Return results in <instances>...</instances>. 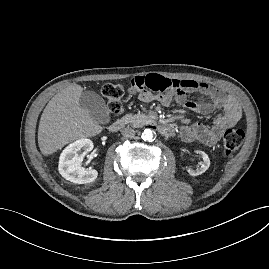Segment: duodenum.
I'll return each mask as SVG.
<instances>
[{
	"instance_id": "duodenum-1",
	"label": "duodenum",
	"mask_w": 269,
	"mask_h": 269,
	"mask_svg": "<svg viewBox=\"0 0 269 269\" xmlns=\"http://www.w3.org/2000/svg\"><path fill=\"white\" fill-rule=\"evenodd\" d=\"M124 125L123 120L119 119L114 121L109 126V131L112 133L118 132ZM158 130L163 135H171L175 131V127L172 124H163L158 127Z\"/></svg>"
}]
</instances>
